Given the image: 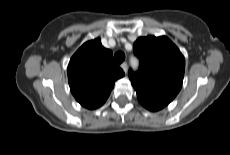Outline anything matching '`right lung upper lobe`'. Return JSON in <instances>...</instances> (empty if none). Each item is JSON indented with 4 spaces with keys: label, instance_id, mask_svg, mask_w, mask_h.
I'll list each match as a JSON object with an SVG mask.
<instances>
[{
    "label": "right lung upper lobe",
    "instance_id": "obj_1",
    "mask_svg": "<svg viewBox=\"0 0 230 155\" xmlns=\"http://www.w3.org/2000/svg\"><path fill=\"white\" fill-rule=\"evenodd\" d=\"M70 90L87 109H96L107 100L114 83L125 73L114 63L112 51L101 40L84 43L70 59L68 69Z\"/></svg>",
    "mask_w": 230,
    "mask_h": 155
}]
</instances>
